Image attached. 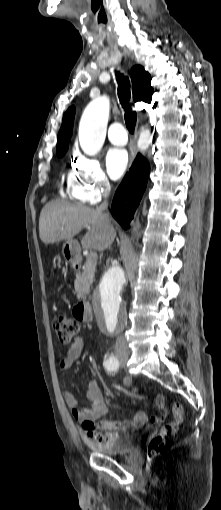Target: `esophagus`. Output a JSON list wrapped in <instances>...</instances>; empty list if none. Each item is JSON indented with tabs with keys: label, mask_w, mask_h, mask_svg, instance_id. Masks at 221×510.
I'll return each instance as SVG.
<instances>
[{
	"label": "esophagus",
	"mask_w": 221,
	"mask_h": 510,
	"mask_svg": "<svg viewBox=\"0 0 221 510\" xmlns=\"http://www.w3.org/2000/svg\"><path fill=\"white\" fill-rule=\"evenodd\" d=\"M135 155H136L135 148L132 146V147L130 148V161H133V160H134Z\"/></svg>",
	"instance_id": "obj_1"
}]
</instances>
